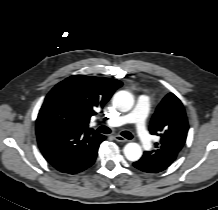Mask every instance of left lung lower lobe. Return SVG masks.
Returning <instances> with one entry per match:
<instances>
[{
    "mask_svg": "<svg viewBox=\"0 0 218 210\" xmlns=\"http://www.w3.org/2000/svg\"><path fill=\"white\" fill-rule=\"evenodd\" d=\"M171 163V159H156V155L151 151H145L143 156L133 163V166L144 172L157 173L165 170Z\"/></svg>",
    "mask_w": 218,
    "mask_h": 210,
    "instance_id": "obj_1",
    "label": "left lung lower lobe"
}]
</instances>
